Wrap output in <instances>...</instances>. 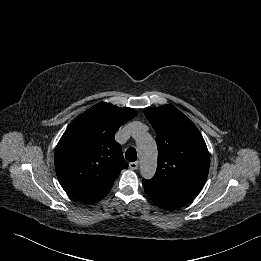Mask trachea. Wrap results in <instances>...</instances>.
<instances>
[{"label":"trachea","instance_id":"3493384b","mask_svg":"<svg viewBox=\"0 0 261 261\" xmlns=\"http://www.w3.org/2000/svg\"><path fill=\"white\" fill-rule=\"evenodd\" d=\"M125 158H126V160H128L130 162L136 161L137 152H136L135 148H133V147L128 148L125 153Z\"/></svg>","mask_w":261,"mask_h":261}]
</instances>
